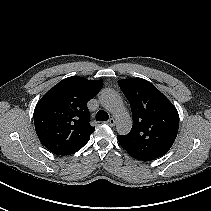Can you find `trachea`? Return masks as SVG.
Returning <instances> with one entry per match:
<instances>
[{
    "instance_id": "obj_1",
    "label": "trachea",
    "mask_w": 211,
    "mask_h": 211,
    "mask_svg": "<svg viewBox=\"0 0 211 211\" xmlns=\"http://www.w3.org/2000/svg\"><path fill=\"white\" fill-rule=\"evenodd\" d=\"M109 119V115L107 112L100 110L96 114V120L97 121H106Z\"/></svg>"
}]
</instances>
